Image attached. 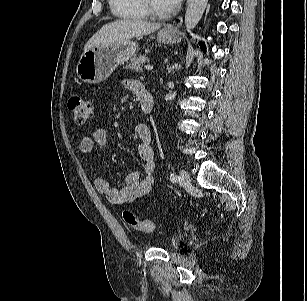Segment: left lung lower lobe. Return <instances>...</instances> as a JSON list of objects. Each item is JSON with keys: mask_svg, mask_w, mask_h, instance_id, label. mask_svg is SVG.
Listing matches in <instances>:
<instances>
[{"mask_svg": "<svg viewBox=\"0 0 307 301\" xmlns=\"http://www.w3.org/2000/svg\"><path fill=\"white\" fill-rule=\"evenodd\" d=\"M201 49L205 51V45L201 44Z\"/></svg>", "mask_w": 307, "mask_h": 301, "instance_id": "0a47b994", "label": "left lung lower lobe"}]
</instances>
